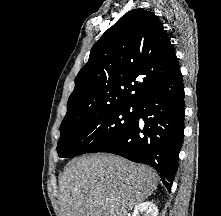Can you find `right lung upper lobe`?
<instances>
[{"instance_id":"right-lung-upper-lobe-1","label":"right lung upper lobe","mask_w":221,"mask_h":216,"mask_svg":"<svg viewBox=\"0 0 221 216\" xmlns=\"http://www.w3.org/2000/svg\"><path fill=\"white\" fill-rule=\"evenodd\" d=\"M178 71L173 45L159 19L144 9L131 10L92 47L75 78L62 123L107 107L137 105Z\"/></svg>"}]
</instances>
